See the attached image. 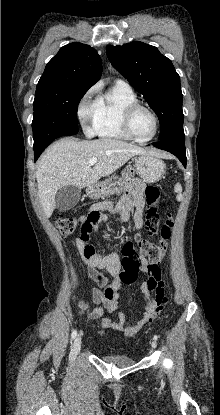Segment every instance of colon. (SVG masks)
I'll list each match as a JSON object with an SVG mask.
<instances>
[{
	"mask_svg": "<svg viewBox=\"0 0 220 415\" xmlns=\"http://www.w3.org/2000/svg\"><path fill=\"white\" fill-rule=\"evenodd\" d=\"M145 198L148 203L146 228L151 234H159V243H152L137 236L135 242L128 241L122 249L120 262V280L123 284L131 285L136 282L140 270V260L148 262L146 290L151 301L157 309H164L169 302L168 290L162 280L158 264L165 258L169 249V240L172 234L173 221L168 219L160 225L157 205L160 201V191L157 187L149 186L145 190ZM53 223L62 235H70L79 227L75 218L58 214L53 218Z\"/></svg>",
	"mask_w": 220,
	"mask_h": 415,
	"instance_id": "colon-1",
	"label": "colon"
}]
</instances>
